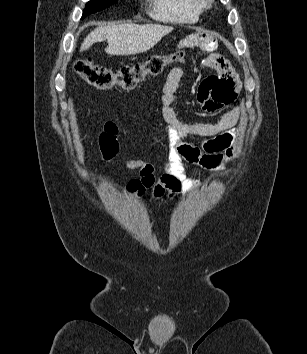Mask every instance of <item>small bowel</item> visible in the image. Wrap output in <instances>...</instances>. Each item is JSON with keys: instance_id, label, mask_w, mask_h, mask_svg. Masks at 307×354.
Instances as JSON below:
<instances>
[{"instance_id": "1", "label": "small bowel", "mask_w": 307, "mask_h": 354, "mask_svg": "<svg viewBox=\"0 0 307 354\" xmlns=\"http://www.w3.org/2000/svg\"><path fill=\"white\" fill-rule=\"evenodd\" d=\"M198 43L201 49L212 52L204 60V65L217 72L204 79L197 91V98L203 109L215 113L234 102L239 86L230 63L221 54L213 52L216 40L204 33H197L195 39H186L180 49ZM180 62L185 63L183 57ZM183 77V69L174 67L167 75L162 89V116L165 122L164 132L167 139L168 156L162 175L156 179L154 167L142 160L124 158L128 169L138 170L140 178L131 180L126 192L142 196L151 190L155 198L174 196L189 192L198 182L187 177L184 162L199 165L207 169H224L234 158L235 126L240 116V107L235 106L224 113L216 122L185 123L178 119L173 108L175 94ZM118 126L107 121L100 134L99 143L103 158L111 161L119 152L117 141ZM151 139L159 143L156 136ZM200 139V145L190 142ZM115 143V146L111 145ZM126 146H124L125 148Z\"/></svg>"}]
</instances>
